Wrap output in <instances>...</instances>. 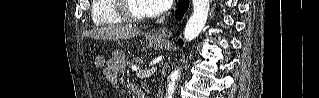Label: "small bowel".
Returning a JSON list of instances; mask_svg holds the SVG:
<instances>
[{
	"mask_svg": "<svg viewBox=\"0 0 319 98\" xmlns=\"http://www.w3.org/2000/svg\"><path fill=\"white\" fill-rule=\"evenodd\" d=\"M127 86L132 88V89H134V87L131 84H129V83H127Z\"/></svg>",
	"mask_w": 319,
	"mask_h": 98,
	"instance_id": "obj_1",
	"label": "small bowel"
}]
</instances>
